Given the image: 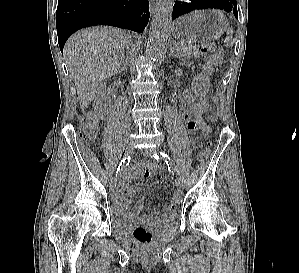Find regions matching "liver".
<instances>
[{
	"instance_id": "1",
	"label": "liver",
	"mask_w": 299,
	"mask_h": 273,
	"mask_svg": "<svg viewBox=\"0 0 299 273\" xmlns=\"http://www.w3.org/2000/svg\"><path fill=\"white\" fill-rule=\"evenodd\" d=\"M134 38L128 31L98 26L78 31L68 39L64 54L81 109L91 103L107 78L120 71Z\"/></svg>"
}]
</instances>
